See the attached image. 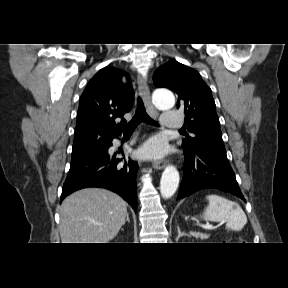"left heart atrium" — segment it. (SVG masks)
Returning <instances> with one entry per match:
<instances>
[{"instance_id":"39dd6f15","label":"left heart atrium","mask_w":288,"mask_h":288,"mask_svg":"<svg viewBox=\"0 0 288 288\" xmlns=\"http://www.w3.org/2000/svg\"><path fill=\"white\" fill-rule=\"evenodd\" d=\"M165 153L163 142L157 138L150 139L143 147L142 154L148 157L158 158Z\"/></svg>"}]
</instances>
